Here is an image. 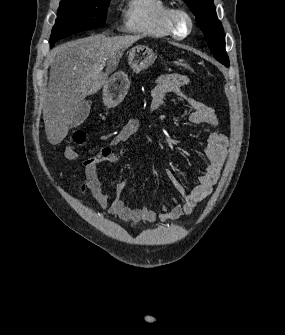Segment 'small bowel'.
<instances>
[{
    "label": "small bowel",
    "mask_w": 285,
    "mask_h": 335,
    "mask_svg": "<svg viewBox=\"0 0 285 335\" xmlns=\"http://www.w3.org/2000/svg\"><path fill=\"white\" fill-rule=\"evenodd\" d=\"M188 85L189 79L182 74L173 73L160 76L151 91L152 112L158 111L166 98L174 94L181 97L191 108L188 115L190 124L217 127L218 119L214 110L186 94L184 89ZM140 127L139 120L128 121L112 138L108 146L103 147L97 155L84 162V180L80 185V190L84 191L85 188H89L100 206L106 209V214L134 224L156 220H175L181 216L191 214L194 207L211 193L213 186L221 175L227 156V137L217 131L209 134L205 147L208 163L205 172L198 177L197 184L193 188L185 189L172 175L168 174L176 195L182 199L184 204H179L176 195H174L159 210L155 211L145 205L139 208H131L121 199V195L127 189L126 181L117 183L115 197L111 198L104 190L103 183L98 176V167L101 163L117 162L123 157L124 150H115L114 147L129 140L140 130Z\"/></svg>",
    "instance_id": "obj_1"
}]
</instances>
